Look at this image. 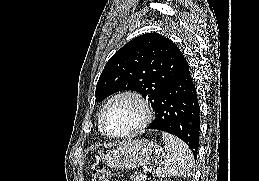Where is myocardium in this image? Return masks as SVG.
<instances>
[{
	"label": "myocardium",
	"mask_w": 259,
	"mask_h": 181,
	"mask_svg": "<svg viewBox=\"0 0 259 181\" xmlns=\"http://www.w3.org/2000/svg\"><path fill=\"white\" fill-rule=\"evenodd\" d=\"M120 99H131L133 101H135L138 106L140 107L141 110V119L140 122L138 123V125L136 127H134L132 130L123 133V134H112L111 132H109L105 126V114L107 109L109 108V106ZM153 117V110L152 107L150 105V103L148 102V100L139 92L137 91H133V90H124V91H120L116 94H114L113 96H111L106 103L103 105L100 114H99V126L102 130V132L107 135L108 137H111L113 139H126V138H130L133 137L135 135H137L139 132H141L144 128H146Z\"/></svg>",
	"instance_id": "1"
}]
</instances>
